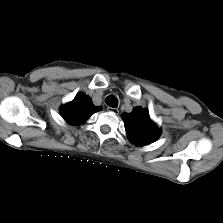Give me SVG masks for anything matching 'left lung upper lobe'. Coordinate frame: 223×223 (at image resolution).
Instances as JSON below:
<instances>
[{
    "label": "left lung upper lobe",
    "instance_id": "left-lung-upper-lobe-1",
    "mask_svg": "<svg viewBox=\"0 0 223 223\" xmlns=\"http://www.w3.org/2000/svg\"><path fill=\"white\" fill-rule=\"evenodd\" d=\"M125 130L129 140L138 146L154 142L160 135L154 122L150 119L146 109L136 107L131 114L122 115Z\"/></svg>",
    "mask_w": 223,
    "mask_h": 223
}]
</instances>
